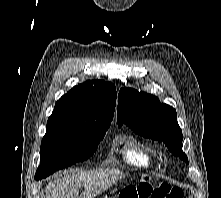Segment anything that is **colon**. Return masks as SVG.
<instances>
[{
	"instance_id": "obj_1",
	"label": "colon",
	"mask_w": 221,
	"mask_h": 198,
	"mask_svg": "<svg viewBox=\"0 0 221 198\" xmlns=\"http://www.w3.org/2000/svg\"><path fill=\"white\" fill-rule=\"evenodd\" d=\"M183 191L179 187L168 183L153 184L144 177L135 185H128L122 189L118 198H183Z\"/></svg>"
}]
</instances>
